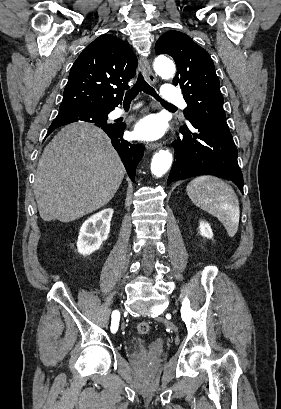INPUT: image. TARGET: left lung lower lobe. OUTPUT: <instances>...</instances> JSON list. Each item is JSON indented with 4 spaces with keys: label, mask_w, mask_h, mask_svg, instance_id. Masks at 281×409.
<instances>
[{
    "label": "left lung lower lobe",
    "mask_w": 281,
    "mask_h": 409,
    "mask_svg": "<svg viewBox=\"0 0 281 409\" xmlns=\"http://www.w3.org/2000/svg\"><path fill=\"white\" fill-rule=\"evenodd\" d=\"M172 143L176 152L167 185L179 179L214 175L231 180L243 193V176L238 166L237 148L229 130L201 120L190 119L189 127Z\"/></svg>",
    "instance_id": "obj_1"
}]
</instances>
